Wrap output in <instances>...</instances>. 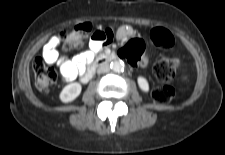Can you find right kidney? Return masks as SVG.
<instances>
[{"mask_svg":"<svg viewBox=\"0 0 225 155\" xmlns=\"http://www.w3.org/2000/svg\"><path fill=\"white\" fill-rule=\"evenodd\" d=\"M81 85L79 83H71L63 88L59 97L64 103L75 100L81 93Z\"/></svg>","mask_w":225,"mask_h":155,"instance_id":"right-kidney-1","label":"right kidney"}]
</instances>
